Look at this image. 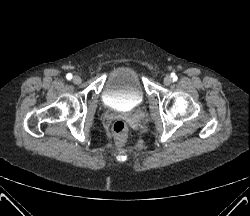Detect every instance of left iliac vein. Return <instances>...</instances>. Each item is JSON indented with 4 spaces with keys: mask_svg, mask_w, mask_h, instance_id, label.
I'll use <instances>...</instances> for the list:
<instances>
[{
    "mask_svg": "<svg viewBox=\"0 0 250 216\" xmlns=\"http://www.w3.org/2000/svg\"><path fill=\"white\" fill-rule=\"evenodd\" d=\"M171 83H172L171 76H169V75L165 76V78H164V84L165 85H170Z\"/></svg>",
    "mask_w": 250,
    "mask_h": 216,
    "instance_id": "obj_1",
    "label": "left iliac vein"
}]
</instances>
